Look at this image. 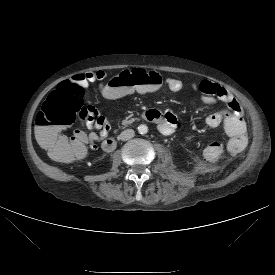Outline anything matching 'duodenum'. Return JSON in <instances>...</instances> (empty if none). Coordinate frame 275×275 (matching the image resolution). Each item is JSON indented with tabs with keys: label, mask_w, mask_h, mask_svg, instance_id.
Returning <instances> with one entry per match:
<instances>
[{
	"label": "duodenum",
	"mask_w": 275,
	"mask_h": 275,
	"mask_svg": "<svg viewBox=\"0 0 275 275\" xmlns=\"http://www.w3.org/2000/svg\"><path fill=\"white\" fill-rule=\"evenodd\" d=\"M143 117L145 120L150 121L148 118V111L144 112ZM116 146L117 139L115 137H108L102 143V148L108 152L113 151L116 148Z\"/></svg>",
	"instance_id": "duodenum-1"
}]
</instances>
